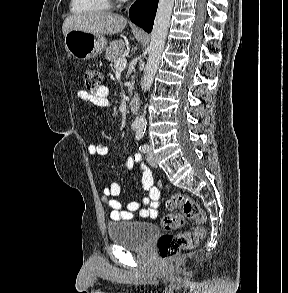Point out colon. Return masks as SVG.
I'll use <instances>...</instances> for the list:
<instances>
[{
    "instance_id": "5ec220e1",
    "label": "colon",
    "mask_w": 288,
    "mask_h": 293,
    "mask_svg": "<svg viewBox=\"0 0 288 293\" xmlns=\"http://www.w3.org/2000/svg\"><path fill=\"white\" fill-rule=\"evenodd\" d=\"M84 84L88 91L96 92L103 84V77L100 71L93 67H87L84 72ZM170 210L162 219V226L166 230L180 228L185 218L193 220L197 225L193 230L177 235L164 234L157 243L159 258L167 261L174 257L179 251L192 249L204 237L205 229L202 224L205 215L200 205L186 194H174L166 202ZM180 209V212L174 211Z\"/></svg>"
}]
</instances>
